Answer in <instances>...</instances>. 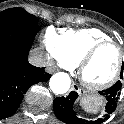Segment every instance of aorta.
<instances>
[{
  "label": "aorta",
  "instance_id": "obj_1",
  "mask_svg": "<svg viewBox=\"0 0 124 124\" xmlns=\"http://www.w3.org/2000/svg\"><path fill=\"white\" fill-rule=\"evenodd\" d=\"M70 84L69 75L63 72L54 74L49 82L50 89L55 94H65L69 90Z\"/></svg>",
  "mask_w": 124,
  "mask_h": 124
}]
</instances>
